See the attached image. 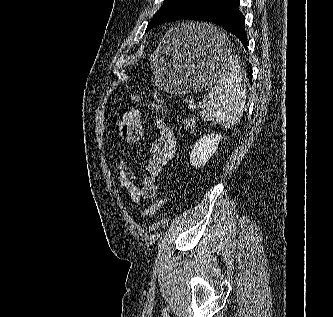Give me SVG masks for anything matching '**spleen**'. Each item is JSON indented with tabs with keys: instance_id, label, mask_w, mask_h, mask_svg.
I'll return each mask as SVG.
<instances>
[{
	"instance_id": "1",
	"label": "spleen",
	"mask_w": 333,
	"mask_h": 317,
	"mask_svg": "<svg viewBox=\"0 0 333 317\" xmlns=\"http://www.w3.org/2000/svg\"><path fill=\"white\" fill-rule=\"evenodd\" d=\"M209 37L212 44L217 47H226L229 50V42L226 35L211 27ZM243 69L240 60L228 55L225 61V69L219 75L214 87L209 91L208 104L204 106L201 117L227 128L237 124L243 115L246 102V88L242 81Z\"/></svg>"
}]
</instances>
